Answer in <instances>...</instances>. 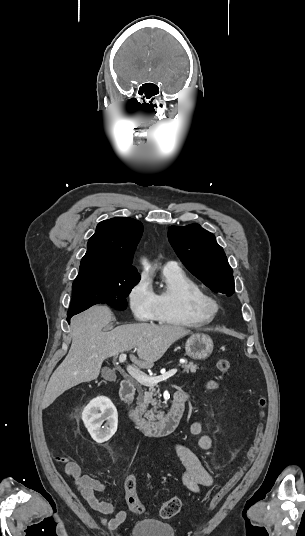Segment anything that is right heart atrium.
Returning a JSON list of instances; mask_svg holds the SVG:
<instances>
[{
	"mask_svg": "<svg viewBox=\"0 0 305 536\" xmlns=\"http://www.w3.org/2000/svg\"><path fill=\"white\" fill-rule=\"evenodd\" d=\"M127 305L132 315L142 322L154 321L157 307L154 291L144 276H140L128 289Z\"/></svg>",
	"mask_w": 305,
	"mask_h": 536,
	"instance_id": "obj_1",
	"label": "right heart atrium"
}]
</instances>
